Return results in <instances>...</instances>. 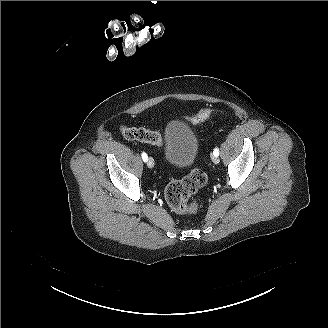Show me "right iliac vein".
<instances>
[{"label":"right iliac vein","mask_w":328,"mask_h":328,"mask_svg":"<svg viewBox=\"0 0 328 328\" xmlns=\"http://www.w3.org/2000/svg\"><path fill=\"white\" fill-rule=\"evenodd\" d=\"M154 159L152 158V157H149L148 159H147V166L149 167V168H153L154 167Z\"/></svg>","instance_id":"63e3f726"}]
</instances>
